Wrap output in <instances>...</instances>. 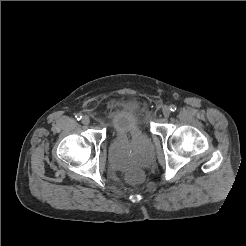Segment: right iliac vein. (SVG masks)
<instances>
[{
	"label": "right iliac vein",
	"mask_w": 246,
	"mask_h": 246,
	"mask_svg": "<svg viewBox=\"0 0 246 246\" xmlns=\"http://www.w3.org/2000/svg\"><path fill=\"white\" fill-rule=\"evenodd\" d=\"M82 123L84 124V125H88L89 123H90V118L88 117V116H83V118H82Z\"/></svg>",
	"instance_id": "63e3f726"
}]
</instances>
